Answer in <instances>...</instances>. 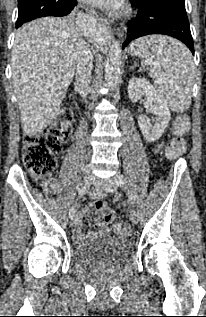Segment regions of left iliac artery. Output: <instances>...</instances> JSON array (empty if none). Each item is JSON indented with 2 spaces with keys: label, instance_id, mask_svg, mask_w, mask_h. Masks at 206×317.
<instances>
[{
  "label": "left iliac artery",
  "instance_id": "1",
  "mask_svg": "<svg viewBox=\"0 0 206 317\" xmlns=\"http://www.w3.org/2000/svg\"><path fill=\"white\" fill-rule=\"evenodd\" d=\"M114 180H115L116 184L119 187H122V188H124L126 190L128 189L127 185H126V182H125V180L122 177L117 176V177L114 178ZM128 192H129V201H130L131 204H134L135 203V196L129 190H128Z\"/></svg>",
  "mask_w": 206,
  "mask_h": 317
}]
</instances>
